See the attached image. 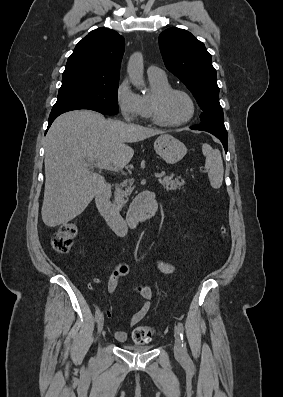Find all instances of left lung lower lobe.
Segmentation results:
<instances>
[{
    "mask_svg": "<svg viewBox=\"0 0 283 397\" xmlns=\"http://www.w3.org/2000/svg\"><path fill=\"white\" fill-rule=\"evenodd\" d=\"M190 129L193 130H200V131H207L217 138H219L224 146L225 152H227L228 145H227V131L226 128H218L213 125H207V124H198L191 126Z\"/></svg>",
    "mask_w": 283,
    "mask_h": 397,
    "instance_id": "left-lung-lower-lobe-1",
    "label": "left lung lower lobe"
}]
</instances>
